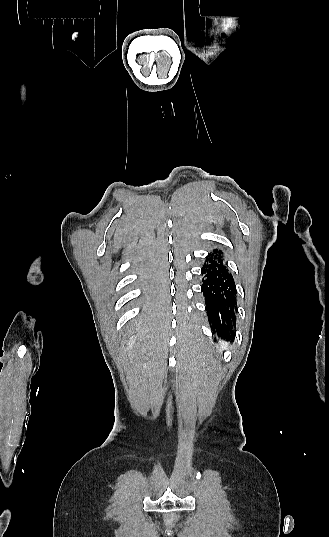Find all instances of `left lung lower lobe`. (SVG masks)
<instances>
[{
  "instance_id": "left-lung-lower-lobe-1",
  "label": "left lung lower lobe",
  "mask_w": 329,
  "mask_h": 537,
  "mask_svg": "<svg viewBox=\"0 0 329 537\" xmlns=\"http://www.w3.org/2000/svg\"><path fill=\"white\" fill-rule=\"evenodd\" d=\"M208 256L202 267L201 291L205 297L209 323L214 332L234 338L237 313L234 279L223 261L221 251L216 249Z\"/></svg>"
}]
</instances>
